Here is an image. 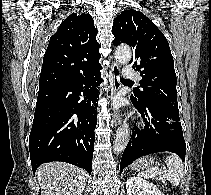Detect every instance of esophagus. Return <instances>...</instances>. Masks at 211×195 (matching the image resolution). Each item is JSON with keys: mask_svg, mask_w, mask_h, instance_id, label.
I'll return each instance as SVG.
<instances>
[{"mask_svg": "<svg viewBox=\"0 0 211 195\" xmlns=\"http://www.w3.org/2000/svg\"><path fill=\"white\" fill-rule=\"evenodd\" d=\"M121 88V83H120V67L119 65L114 62L112 64V95L111 99H113V96L115 95L116 92H118ZM113 123L115 126H119L122 123V117L121 113L116 111L113 113Z\"/></svg>", "mask_w": 211, "mask_h": 195, "instance_id": "34e87169", "label": "esophagus"}]
</instances>
